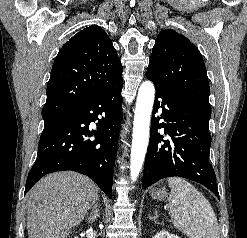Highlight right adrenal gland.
Wrapping results in <instances>:
<instances>
[{
  "mask_svg": "<svg viewBox=\"0 0 247 238\" xmlns=\"http://www.w3.org/2000/svg\"><path fill=\"white\" fill-rule=\"evenodd\" d=\"M100 218V211L98 209V201L92 207V211L87 218L88 223H93L95 220Z\"/></svg>",
  "mask_w": 247,
  "mask_h": 238,
  "instance_id": "1",
  "label": "right adrenal gland"
}]
</instances>
